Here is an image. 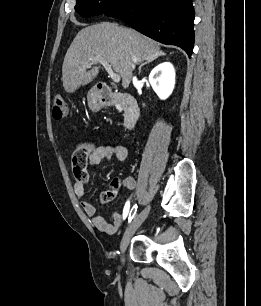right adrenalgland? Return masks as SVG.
Here are the masks:
<instances>
[{
  "label": "right adrenal gland",
  "instance_id": "1",
  "mask_svg": "<svg viewBox=\"0 0 261 306\" xmlns=\"http://www.w3.org/2000/svg\"><path fill=\"white\" fill-rule=\"evenodd\" d=\"M165 55H166L165 53L160 52V53H159L158 55H156L154 58H152V59H150V60H147L145 63L141 64V65L139 66V74H140L141 69H142L143 66H145V65H147V64H149V63H151V62H153V61L156 60L158 57L165 56Z\"/></svg>",
  "mask_w": 261,
  "mask_h": 306
}]
</instances>
